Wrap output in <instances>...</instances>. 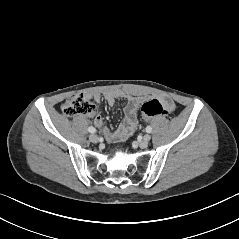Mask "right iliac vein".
<instances>
[{
	"label": "right iliac vein",
	"mask_w": 239,
	"mask_h": 239,
	"mask_svg": "<svg viewBox=\"0 0 239 239\" xmlns=\"http://www.w3.org/2000/svg\"><path fill=\"white\" fill-rule=\"evenodd\" d=\"M89 140H90L91 142H93V143H97L98 140H99V138H98V136H97L96 134H91V135L89 136Z\"/></svg>",
	"instance_id": "right-iliac-vein-1"
}]
</instances>
